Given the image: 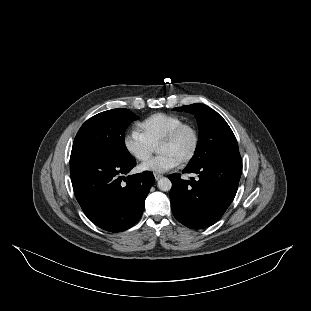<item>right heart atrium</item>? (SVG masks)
<instances>
[{"instance_id": "d8ad5b80", "label": "right heart atrium", "mask_w": 311, "mask_h": 311, "mask_svg": "<svg viewBox=\"0 0 311 311\" xmlns=\"http://www.w3.org/2000/svg\"><path fill=\"white\" fill-rule=\"evenodd\" d=\"M123 146L127 154L136 162H146L154 152L153 146L140 130L130 128L123 136Z\"/></svg>"}]
</instances>
